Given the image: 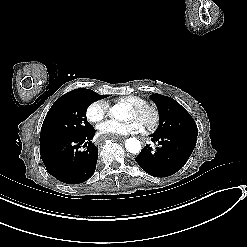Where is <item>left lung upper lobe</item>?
Masks as SVG:
<instances>
[{"instance_id": "5c2ea615", "label": "left lung upper lobe", "mask_w": 247, "mask_h": 247, "mask_svg": "<svg viewBox=\"0 0 247 247\" xmlns=\"http://www.w3.org/2000/svg\"><path fill=\"white\" fill-rule=\"evenodd\" d=\"M151 99L159 110V127L154 135H185L197 138V126L191 115L174 99L152 94Z\"/></svg>"}]
</instances>
